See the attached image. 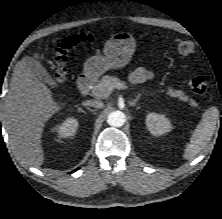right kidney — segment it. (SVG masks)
<instances>
[{"mask_svg":"<svg viewBox=\"0 0 222 219\" xmlns=\"http://www.w3.org/2000/svg\"><path fill=\"white\" fill-rule=\"evenodd\" d=\"M78 128V120L75 118H67L56 127V131L60 138L73 136Z\"/></svg>","mask_w":222,"mask_h":219,"instance_id":"ca27d5eb","label":"right kidney"}]
</instances>
